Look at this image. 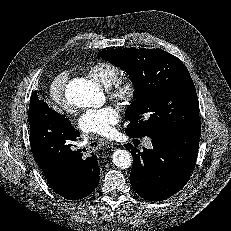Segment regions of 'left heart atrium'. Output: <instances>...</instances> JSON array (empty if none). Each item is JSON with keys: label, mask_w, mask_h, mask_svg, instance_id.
<instances>
[{"label": "left heart atrium", "mask_w": 231, "mask_h": 231, "mask_svg": "<svg viewBox=\"0 0 231 231\" xmlns=\"http://www.w3.org/2000/svg\"><path fill=\"white\" fill-rule=\"evenodd\" d=\"M120 120V111L114 105L87 111L79 119V127L86 134L109 136Z\"/></svg>", "instance_id": "1"}]
</instances>
